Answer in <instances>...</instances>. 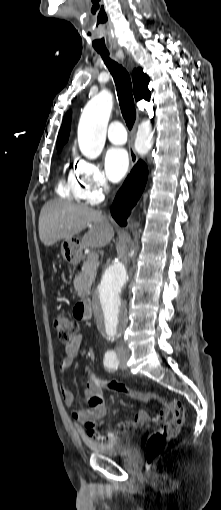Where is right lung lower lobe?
Here are the masks:
<instances>
[{"label": "right lung lower lobe", "mask_w": 221, "mask_h": 510, "mask_svg": "<svg viewBox=\"0 0 221 510\" xmlns=\"http://www.w3.org/2000/svg\"><path fill=\"white\" fill-rule=\"evenodd\" d=\"M147 177V166L139 160L118 191L111 207V214L119 225H126V219L131 209L144 190Z\"/></svg>", "instance_id": "1"}]
</instances>
